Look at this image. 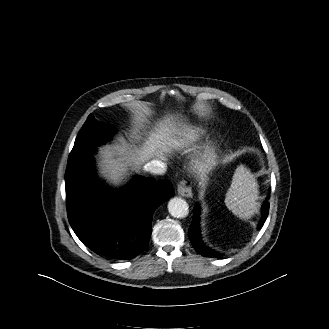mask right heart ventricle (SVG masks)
<instances>
[{
  "instance_id": "e07e8e85",
  "label": "right heart ventricle",
  "mask_w": 329,
  "mask_h": 329,
  "mask_svg": "<svg viewBox=\"0 0 329 329\" xmlns=\"http://www.w3.org/2000/svg\"><path fill=\"white\" fill-rule=\"evenodd\" d=\"M205 136V131L198 127H191L183 130L176 144L181 147H189L199 142Z\"/></svg>"
}]
</instances>
